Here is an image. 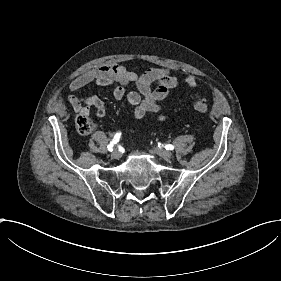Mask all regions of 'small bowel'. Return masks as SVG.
I'll use <instances>...</instances> for the list:
<instances>
[{"mask_svg": "<svg viewBox=\"0 0 281 281\" xmlns=\"http://www.w3.org/2000/svg\"><path fill=\"white\" fill-rule=\"evenodd\" d=\"M194 80L193 76H189L185 79V84L193 85ZM178 83L179 79L165 69L152 68L143 74H138L121 65H107L76 78L70 83L69 90L76 92L89 84L113 87V98L116 101L126 100L133 106L135 118L141 119L146 114H152L157 120L162 121L165 115L159 103L169 95L171 89L177 87ZM126 86L136 90L127 92ZM68 100L75 111L83 115L89 113L90 107H94L100 117L106 112L105 103L98 96L83 99L78 95L70 94Z\"/></svg>", "mask_w": 281, "mask_h": 281, "instance_id": "1", "label": "small bowel"}]
</instances>
